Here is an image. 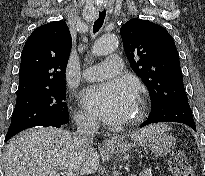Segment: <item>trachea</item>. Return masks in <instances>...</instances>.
<instances>
[{
  "label": "trachea",
  "mask_w": 205,
  "mask_h": 176,
  "mask_svg": "<svg viewBox=\"0 0 205 176\" xmlns=\"http://www.w3.org/2000/svg\"><path fill=\"white\" fill-rule=\"evenodd\" d=\"M105 16H106V11L105 10L99 11L98 18L94 22V25H93V32L94 33L98 32L100 30V28L102 27V25L104 23Z\"/></svg>",
  "instance_id": "obj_1"
}]
</instances>
